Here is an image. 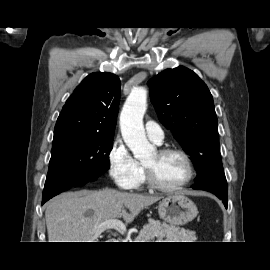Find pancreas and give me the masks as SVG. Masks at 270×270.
<instances>
[{"mask_svg": "<svg viewBox=\"0 0 270 270\" xmlns=\"http://www.w3.org/2000/svg\"><path fill=\"white\" fill-rule=\"evenodd\" d=\"M136 237L135 242H153L154 238L166 239L167 242H195L197 237L194 231L162 223L159 220L149 219Z\"/></svg>", "mask_w": 270, "mask_h": 270, "instance_id": "cf45deb5", "label": "pancreas"}]
</instances>
